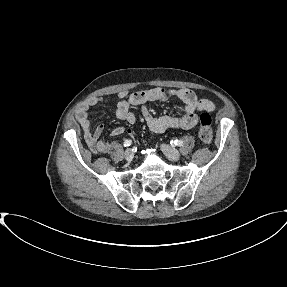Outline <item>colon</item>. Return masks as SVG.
Here are the masks:
<instances>
[{
    "label": "colon",
    "instance_id": "obj_1",
    "mask_svg": "<svg viewBox=\"0 0 287 287\" xmlns=\"http://www.w3.org/2000/svg\"><path fill=\"white\" fill-rule=\"evenodd\" d=\"M200 129H199V139L200 141L205 144L209 145L212 141V130L211 124L212 119L209 113L203 112L199 118Z\"/></svg>",
    "mask_w": 287,
    "mask_h": 287
}]
</instances>
